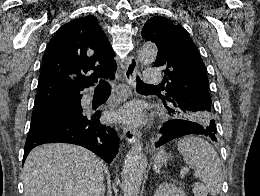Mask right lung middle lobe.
<instances>
[{"mask_svg":"<svg viewBox=\"0 0 260 196\" xmlns=\"http://www.w3.org/2000/svg\"><path fill=\"white\" fill-rule=\"evenodd\" d=\"M56 105L57 102L45 106L34 107L29 132L49 125L73 121L84 116L82 110H66L57 108Z\"/></svg>","mask_w":260,"mask_h":196,"instance_id":"dd1d6c3e","label":"right lung middle lobe"}]
</instances>
